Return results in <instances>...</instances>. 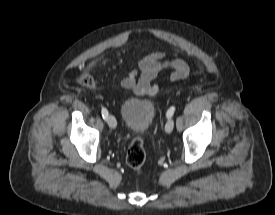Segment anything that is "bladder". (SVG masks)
Segmentation results:
<instances>
[{
    "label": "bladder",
    "mask_w": 275,
    "mask_h": 215,
    "mask_svg": "<svg viewBox=\"0 0 275 215\" xmlns=\"http://www.w3.org/2000/svg\"><path fill=\"white\" fill-rule=\"evenodd\" d=\"M155 114L154 103L144 98H128L121 106L125 127L133 133L146 132L152 125Z\"/></svg>",
    "instance_id": "31cf9c89"
}]
</instances>
